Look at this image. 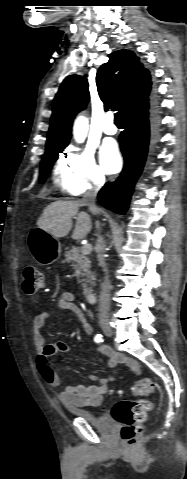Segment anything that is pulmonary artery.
<instances>
[{
  "mask_svg": "<svg viewBox=\"0 0 187 479\" xmlns=\"http://www.w3.org/2000/svg\"><path fill=\"white\" fill-rule=\"evenodd\" d=\"M103 132L107 135H115L117 133V128L113 123V115L109 114L106 116Z\"/></svg>",
  "mask_w": 187,
  "mask_h": 479,
  "instance_id": "obj_1",
  "label": "pulmonary artery"
}]
</instances>
